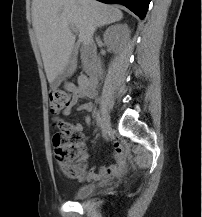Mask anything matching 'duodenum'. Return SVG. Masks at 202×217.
I'll list each match as a JSON object with an SVG mask.
<instances>
[{
    "label": "duodenum",
    "instance_id": "410a0bca",
    "mask_svg": "<svg viewBox=\"0 0 202 217\" xmlns=\"http://www.w3.org/2000/svg\"><path fill=\"white\" fill-rule=\"evenodd\" d=\"M91 46L86 47L85 49V53H86V58H89L90 56V50H91ZM90 73L92 76H95L97 74V68L93 65L90 64ZM82 79V87L88 92V93H94L95 91V80L94 78H85V77H81Z\"/></svg>",
    "mask_w": 202,
    "mask_h": 217
}]
</instances>
